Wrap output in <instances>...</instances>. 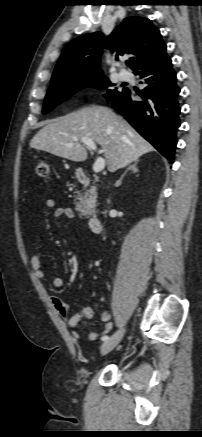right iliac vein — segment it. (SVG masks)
I'll use <instances>...</instances> for the list:
<instances>
[{"mask_svg":"<svg viewBox=\"0 0 202 437\" xmlns=\"http://www.w3.org/2000/svg\"><path fill=\"white\" fill-rule=\"evenodd\" d=\"M124 335V329L118 330L108 340H106L101 346V355H106L112 351L121 341Z\"/></svg>","mask_w":202,"mask_h":437,"instance_id":"63e3f726","label":"right iliac vein"}]
</instances>
